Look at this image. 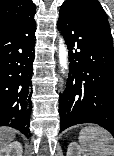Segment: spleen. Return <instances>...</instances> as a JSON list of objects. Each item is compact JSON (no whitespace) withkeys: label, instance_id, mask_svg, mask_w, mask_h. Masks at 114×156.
I'll use <instances>...</instances> for the list:
<instances>
[{"label":"spleen","instance_id":"1","mask_svg":"<svg viewBox=\"0 0 114 156\" xmlns=\"http://www.w3.org/2000/svg\"><path fill=\"white\" fill-rule=\"evenodd\" d=\"M79 143L86 156H114V141L99 126H86L79 133Z\"/></svg>","mask_w":114,"mask_h":156}]
</instances>
